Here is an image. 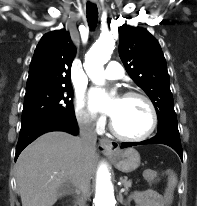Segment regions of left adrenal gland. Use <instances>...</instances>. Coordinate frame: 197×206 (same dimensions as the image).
<instances>
[{
    "instance_id": "1",
    "label": "left adrenal gland",
    "mask_w": 197,
    "mask_h": 206,
    "mask_svg": "<svg viewBox=\"0 0 197 206\" xmlns=\"http://www.w3.org/2000/svg\"><path fill=\"white\" fill-rule=\"evenodd\" d=\"M119 201L121 204H123V195L121 192L119 193Z\"/></svg>"
}]
</instances>
